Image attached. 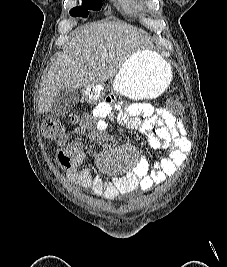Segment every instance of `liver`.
Returning a JSON list of instances; mask_svg holds the SVG:
<instances>
[{"instance_id": "liver-1", "label": "liver", "mask_w": 227, "mask_h": 267, "mask_svg": "<svg viewBox=\"0 0 227 267\" xmlns=\"http://www.w3.org/2000/svg\"><path fill=\"white\" fill-rule=\"evenodd\" d=\"M147 45V37L137 28L117 21L93 23L72 34L42 77L39 112L48 111L62 89H78L112 79L135 52Z\"/></svg>"}]
</instances>
